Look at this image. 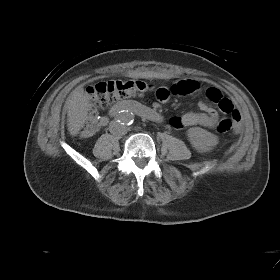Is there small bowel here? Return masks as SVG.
Here are the masks:
<instances>
[{
    "mask_svg": "<svg viewBox=\"0 0 280 280\" xmlns=\"http://www.w3.org/2000/svg\"><path fill=\"white\" fill-rule=\"evenodd\" d=\"M200 89V84L196 80L183 79L174 83L171 87H162L157 90H165L170 95H188L197 92ZM157 96V93H156ZM158 98V96H157ZM207 98V96H206ZM167 99H160V101H166ZM208 99V98H207ZM209 100V99H208ZM210 101V100H209ZM199 112H189L182 116L173 117L170 119V125L175 129H185L193 126H202L205 128H216L219 123L218 113L215 109L209 106L206 102L200 101ZM233 108V105H232ZM234 109V108H233ZM222 110V109H221ZM235 110V109H234ZM223 111V110H222ZM237 111V110H236ZM224 112V111H223ZM104 123V119L101 120L100 124ZM93 134V130L87 129L81 133L82 137H89Z\"/></svg>",
    "mask_w": 280,
    "mask_h": 280,
    "instance_id": "small-bowel-1",
    "label": "small bowel"
}]
</instances>
